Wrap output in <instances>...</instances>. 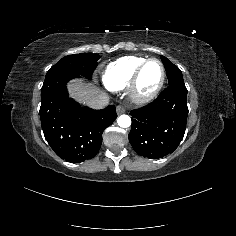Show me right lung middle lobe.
<instances>
[{
    "instance_id": "obj_1",
    "label": "right lung middle lobe",
    "mask_w": 236,
    "mask_h": 236,
    "mask_svg": "<svg viewBox=\"0 0 236 236\" xmlns=\"http://www.w3.org/2000/svg\"><path fill=\"white\" fill-rule=\"evenodd\" d=\"M100 59L98 54L83 53L68 55L56 63L46 74V78H52L60 74H76L91 79V75L97 67Z\"/></svg>"
}]
</instances>
